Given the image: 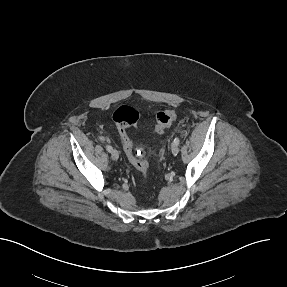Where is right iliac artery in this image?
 Instances as JSON below:
<instances>
[{"label":"right iliac artery","mask_w":287,"mask_h":287,"mask_svg":"<svg viewBox=\"0 0 287 287\" xmlns=\"http://www.w3.org/2000/svg\"><path fill=\"white\" fill-rule=\"evenodd\" d=\"M106 150H107L108 152H111L112 147H111L110 145H107V146H106Z\"/></svg>","instance_id":"right-iliac-artery-1"}]
</instances>
